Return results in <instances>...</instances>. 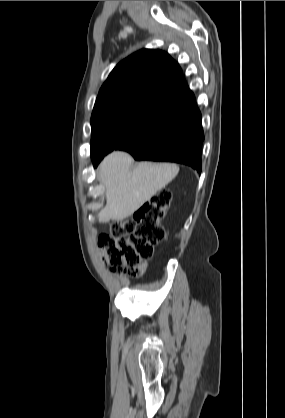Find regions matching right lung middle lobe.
Returning <instances> with one entry per match:
<instances>
[{"instance_id": "right-lung-middle-lobe-1", "label": "right lung middle lobe", "mask_w": 285, "mask_h": 418, "mask_svg": "<svg viewBox=\"0 0 285 418\" xmlns=\"http://www.w3.org/2000/svg\"><path fill=\"white\" fill-rule=\"evenodd\" d=\"M172 109L141 101H125L92 113L91 157L101 159L120 150L161 122Z\"/></svg>"}]
</instances>
